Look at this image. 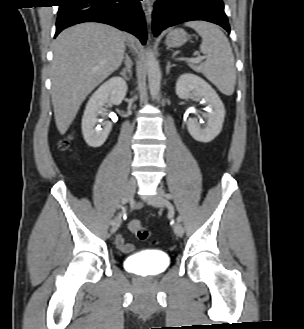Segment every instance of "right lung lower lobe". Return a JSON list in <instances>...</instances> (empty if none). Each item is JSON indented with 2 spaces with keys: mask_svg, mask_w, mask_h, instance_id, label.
Wrapping results in <instances>:
<instances>
[{
  "mask_svg": "<svg viewBox=\"0 0 304 329\" xmlns=\"http://www.w3.org/2000/svg\"><path fill=\"white\" fill-rule=\"evenodd\" d=\"M141 0H61L57 36L65 28L83 22H100L127 31L146 42V23Z\"/></svg>",
  "mask_w": 304,
  "mask_h": 329,
  "instance_id": "1",
  "label": "right lung lower lobe"
}]
</instances>
